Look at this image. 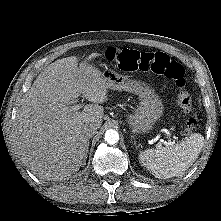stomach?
I'll use <instances>...</instances> for the list:
<instances>
[{
    "label": "stomach",
    "mask_w": 221,
    "mask_h": 221,
    "mask_svg": "<svg viewBox=\"0 0 221 221\" xmlns=\"http://www.w3.org/2000/svg\"><path fill=\"white\" fill-rule=\"evenodd\" d=\"M103 76L109 89L126 91L138 95L139 105L128 116V123L133 133L149 132L163 115V104L159 96L146 83L121 75L113 71L104 72Z\"/></svg>",
    "instance_id": "stomach-1"
}]
</instances>
